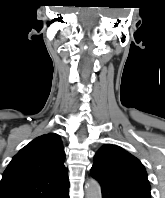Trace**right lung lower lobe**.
<instances>
[{"label": "right lung lower lobe", "instance_id": "98d812e1", "mask_svg": "<svg viewBox=\"0 0 165 198\" xmlns=\"http://www.w3.org/2000/svg\"><path fill=\"white\" fill-rule=\"evenodd\" d=\"M60 198H69V191H66Z\"/></svg>", "mask_w": 165, "mask_h": 198}]
</instances>
